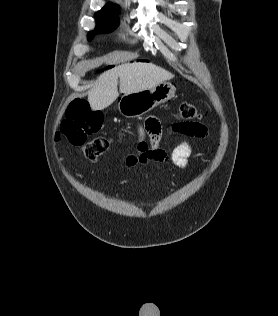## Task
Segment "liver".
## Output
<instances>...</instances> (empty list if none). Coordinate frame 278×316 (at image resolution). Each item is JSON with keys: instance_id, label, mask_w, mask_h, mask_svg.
Returning a JSON list of instances; mask_svg holds the SVG:
<instances>
[{"instance_id": "obj_1", "label": "liver", "mask_w": 278, "mask_h": 316, "mask_svg": "<svg viewBox=\"0 0 278 316\" xmlns=\"http://www.w3.org/2000/svg\"><path fill=\"white\" fill-rule=\"evenodd\" d=\"M173 77V74L152 63H124L99 76L89 92L88 102L93 110L111 105L119 96L118 78L120 93L130 94L152 88Z\"/></svg>"}]
</instances>
